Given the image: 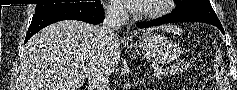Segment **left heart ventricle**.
<instances>
[{"label":"left heart ventricle","instance_id":"left-heart-ventricle-1","mask_svg":"<svg viewBox=\"0 0 237 90\" xmlns=\"http://www.w3.org/2000/svg\"><path fill=\"white\" fill-rule=\"evenodd\" d=\"M156 5H157L156 3H151V6H153V7L156 6Z\"/></svg>","mask_w":237,"mask_h":90}]
</instances>
